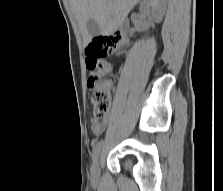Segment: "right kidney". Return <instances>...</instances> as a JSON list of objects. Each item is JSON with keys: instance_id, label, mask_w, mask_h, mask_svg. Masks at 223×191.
<instances>
[{"instance_id": "1", "label": "right kidney", "mask_w": 223, "mask_h": 191, "mask_svg": "<svg viewBox=\"0 0 223 191\" xmlns=\"http://www.w3.org/2000/svg\"><path fill=\"white\" fill-rule=\"evenodd\" d=\"M153 7L156 10L155 19L159 23L163 19L166 1L165 0H143L141 3V10H147L148 8Z\"/></svg>"}]
</instances>
